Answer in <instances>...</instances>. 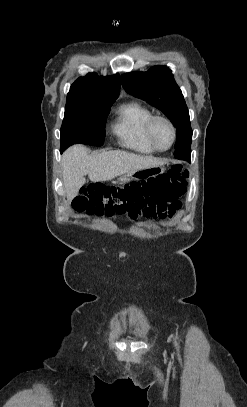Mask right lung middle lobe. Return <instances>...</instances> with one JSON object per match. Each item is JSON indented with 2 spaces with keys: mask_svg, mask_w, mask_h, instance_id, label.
Instances as JSON below:
<instances>
[{
  "mask_svg": "<svg viewBox=\"0 0 247 407\" xmlns=\"http://www.w3.org/2000/svg\"><path fill=\"white\" fill-rule=\"evenodd\" d=\"M113 103L114 101L66 104L60 130V152L76 143L102 146L106 119Z\"/></svg>",
  "mask_w": 247,
  "mask_h": 407,
  "instance_id": "obj_1",
  "label": "right lung middle lobe"
}]
</instances>
